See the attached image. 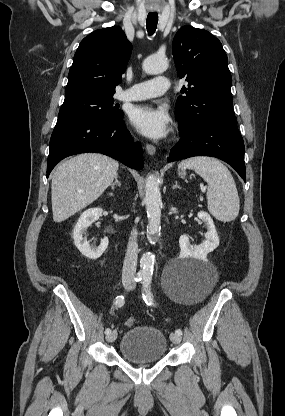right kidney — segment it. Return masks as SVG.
I'll return each mask as SVG.
<instances>
[{
  "label": "right kidney",
  "instance_id": "obj_1",
  "mask_svg": "<svg viewBox=\"0 0 285 416\" xmlns=\"http://www.w3.org/2000/svg\"><path fill=\"white\" fill-rule=\"evenodd\" d=\"M102 208H90V210H86L81 214L74 230H73V240L76 248H78L79 252H81L82 256H86L88 260H98L102 254H104L109 240L108 238H103L100 246L96 248V246H89V242H87V238H83L84 232H86L87 228L99 220L100 216H102Z\"/></svg>",
  "mask_w": 285,
  "mask_h": 416
}]
</instances>
